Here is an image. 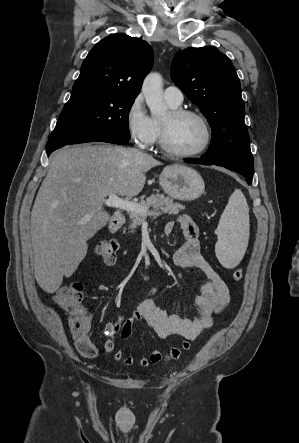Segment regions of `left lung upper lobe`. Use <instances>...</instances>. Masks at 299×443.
<instances>
[{"instance_id": "5c2ea615", "label": "left lung upper lobe", "mask_w": 299, "mask_h": 443, "mask_svg": "<svg viewBox=\"0 0 299 443\" xmlns=\"http://www.w3.org/2000/svg\"><path fill=\"white\" fill-rule=\"evenodd\" d=\"M171 78L211 126V145L202 158L217 165H253L240 81L230 59L214 47L186 49L174 56Z\"/></svg>"}]
</instances>
